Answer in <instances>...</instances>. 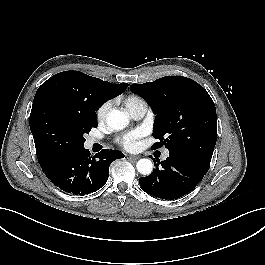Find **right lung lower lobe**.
Returning a JSON list of instances; mask_svg holds the SVG:
<instances>
[{
	"mask_svg": "<svg viewBox=\"0 0 265 265\" xmlns=\"http://www.w3.org/2000/svg\"><path fill=\"white\" fill-rule=\"evenodd\" d=\"M122 152L104 149L95 157L84 147L38 159L45 175L70 194H88L105 185L110 164L123 158Z\"/></svg>",
	"mask_w": 265,
	"mask_h": 265,
	"instance_id": "98d812e1",
	"label": "right lung lower lobe"
}]
</instances>
